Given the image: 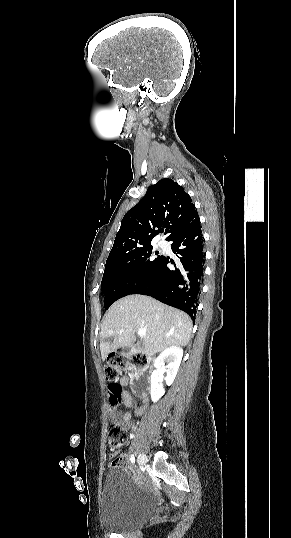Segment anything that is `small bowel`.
<instances>
[{"instance_id": "1", "label": "small bowel", "mask_w": 291, "mask_h": 538, "mask_svg": "<svg viewBox=\"0 0 291 538\" xmlns=\"http://www.w3.org/2000/svg\"><path fill=\"white\" fill-rule=\"evenodd\" d=\"M131 380L128 377H123L119 381L121 387L120 402L116 406H111L110 418L115 423H120L123 426V430L128 428V422L131 420L132 413L136 415H142L145 411V407L135 405L132 397L124 387L130 385ZM119 465L128 464V457L125 454H119L117 457Z\"/></svg>"}]
</instances>
